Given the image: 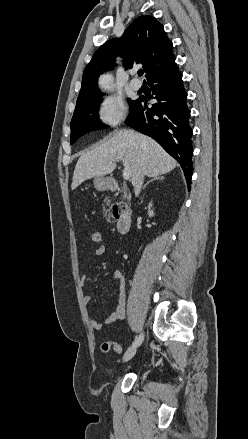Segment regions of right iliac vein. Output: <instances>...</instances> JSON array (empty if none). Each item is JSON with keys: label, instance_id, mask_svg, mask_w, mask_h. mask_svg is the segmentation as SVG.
<instances>
[{"label": "right iliac vein", "instance_id": "1", "mask_svg": "<svg viewBox=\"0 0 248 439\" xmlns=\"http://www.w3.org/2000/svg\"><path fill=\"white\" fill-rule=\"evenodd\" d=\"M139 346V345H138ZM138 346H131L124 354L122 360L123 362H127L134 357L137 351Z\"/></svg>", "mask_w": 248, "mask_h": 439}]
</instances>
